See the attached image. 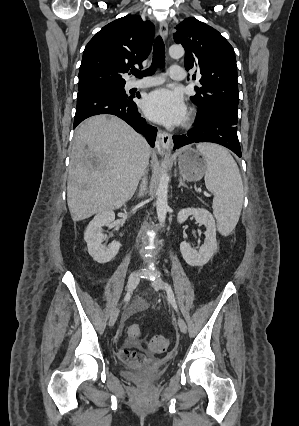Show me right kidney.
<instances>
[{
    "instance_id": "ca27d5eb",
    "label": "right kidney",
    "mask_w": 299,
    "mask_h": 426,
    "mask_svg": "<svg viewBox=\"0 0 299 426\" xmlns=\"http://www.w3.org/2000/svg\"><path fill=\"white\" fill-rule=\"evenodd\" d=\"M115 220V213L108 210L98 213L88 224L84 240L87 243L88 253L98 263H107L115 258L121 247L120 242L113 241L108 246L103 245V226L111 224Z\"/></svg>"
}]
</instances>
